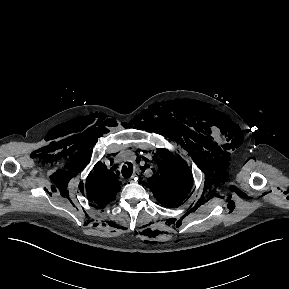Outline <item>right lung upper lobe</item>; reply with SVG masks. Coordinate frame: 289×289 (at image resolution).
I'll return each mask as SVG.
<instances>
[{"mask_svg":"<svg viewBox=\"0 0 289 289\" xmlns=\"http://www.w3.org/2000/svg\"><path fill=\"white\" fill-rule=\"evenodd\" d=\"M120 185L114 173L98 162L94 166V171L87 177L85 191L89 200L104 206L115 199Z\"/></svg>","mask_w":289,"mask_h":289,"instance_id":"cb5924a9","label":"right lung upper lobe"}]
</instances>
